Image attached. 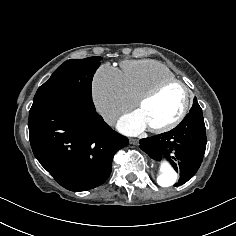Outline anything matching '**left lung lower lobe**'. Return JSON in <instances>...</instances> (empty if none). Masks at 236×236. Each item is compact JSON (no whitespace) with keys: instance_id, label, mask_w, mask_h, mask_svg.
Returning a JSON list of instances; mask_svg holds the SVG:
<instances>
[{"instance_id":"0a47b994","label":"left lung lower lobe","mask_w":236,"mask_h":236,"mask_svg":"<svg viewBox=\"0 0 236 236\" xmlns=\"http://www.w3.org/2000/svg\"><path fill=\"white\" fill-rule=\"evenodd\" d=\"M206 130L202 112L188 113L174 129L140 140L141 149L151 158H166L180 172L179 186L199 169L206 148Z\"/></svg>"}]
</instances>
